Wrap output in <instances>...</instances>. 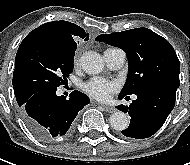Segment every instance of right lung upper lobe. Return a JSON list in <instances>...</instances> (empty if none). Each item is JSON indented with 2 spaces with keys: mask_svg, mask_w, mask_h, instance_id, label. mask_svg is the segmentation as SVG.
I'll return each instance as SVG.
<instances>
[{
  "mask_svg": "<svg viewBox=\"0 0 190 165\" xmlns=\"http://www.w3.org/2000/svg\"><path fill=\"white\" fill-rule=\"evenodd\" d=\"M40 33L60 37L66 41L76 43L79 38L88 39V34L79 26L68 21H52L45 23L29 34Z\"/></svg>",
  "mask_w": 190,
  "mask_h": 165,
  "instance_id": "obj_1",
  "label": "right lung upper lobe"
}]
</instances>
